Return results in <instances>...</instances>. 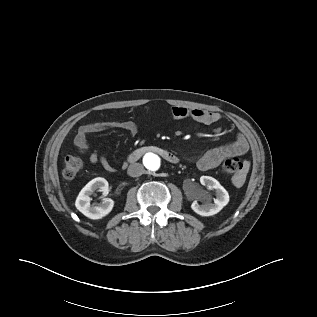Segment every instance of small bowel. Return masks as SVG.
Masks as SVG:
<instances>
[{"mask_svg": "<svg viewBox=\"0 0 317 317\" xmlns=\"http://www.w3.org/2000/svg\"><path fill=\"white\" fill-rule=\"evenodd\" d=\"M171 115L174 119L191 118L194 121L204 124L212 125L220 120V115L217 112L198 109L186 108L183 106H174L171 108ZM109 125L126 130L131 136L136 135L138 129L136 124L131 120L114 121ZM108 125L103 123L85 124L79 127L75 137L74 145L80 153L86 154L92 164L100 163L102 167L108 171L113 172L114 168L109 163L104 154L97 150H90V144L87 135L96 133L105 129ZM249 149L248 142L243 134L238 133L235 140L224 146L216 147L205 152L196 162L197 168L201 171L211 170L229 157L242 156L247 153ZM249 164L244 162V171L239 176L235 177L233 183L240 186L244 182V175L248 170Z\"/></svg>", "mask_w": 317, "mask_h": 317, "instance_id": "obj_1", "label": "small bowel"}]
</instances>
